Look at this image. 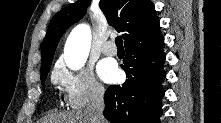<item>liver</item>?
<instances>
[{"instance_id":"obj_1","label":"liver","mask_w":221,"mask_h":123,"mask_svg":"<svg viewBox=\"0 0 221 123\" xmlns=\"http://www.w3.org/2000/svg\"><path fill=\"white\" fill-rule=\"evenodd\" d=\"M45 123H91L86 111L68 112L52 115L44 120Z\"/></svg>"}]
</instances>
